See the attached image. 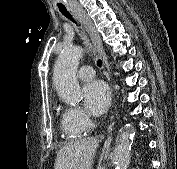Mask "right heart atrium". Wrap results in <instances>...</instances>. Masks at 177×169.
<instances>
[{
	"label": "right heart atrium",
	"mask_w": 177,
	"mask_h": 169,
	"mask_svg": "<svg viewBox=\"0 0 177 169\" xmlns=\"http://www.w3.org/2000/svg\"><path fill=\"white\" fill-rule=\"evenodd\" d=\"M65 118L71 128L87 129L93 123L89 115L79 107L67 108Z\"/></svg>",
	"instance_id": "d8ad5b80"
}]
</instances>
